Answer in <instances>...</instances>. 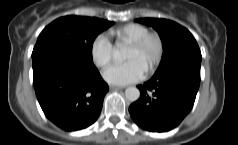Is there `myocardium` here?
<instances>
[{"label": "myocardium", "mask_w": 238, "mask_h": 145, "mask_svg": "<svg viewBox=\"0 0 238 145\" xmlns=\"http://www.w3.org/2000/svg\"><path fill=\"white\" fill-rule=\"evenodd\" d=\"M153 43L155 45V53L150 59L145 71L152 72L160 63L164 53V42L162 37L155 32H148L138 40L130 44V47L136 51H141L147 44Z\"/></svg>", "instance_id": "f54148a6"}]
</instances>
